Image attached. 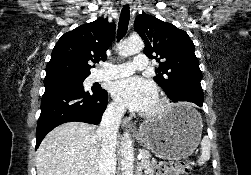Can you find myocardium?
I'll return each mask as SVG.
<instances>
[{"label":"myocardium","mask_w":251,"mask_h":175,"mask_svg":"<svg viewBox=\"0 0 251 175\" xmlns=\"http://www.w3.org/2000/svg\"><path fill=\"white\" fill-rule=\"evenodd\" d=\"M167 111H168L167 103L165 101H159L153 111V115L154 116H162V115L166 114Z\"/></svg>","instance_id":"myocardium-1"}]
</instances>
